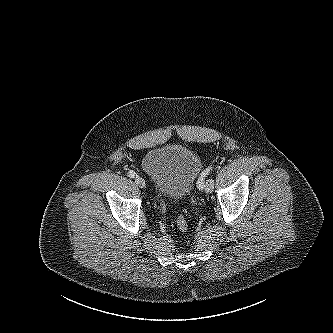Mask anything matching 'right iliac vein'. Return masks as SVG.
Wrapping results in <instances>:
<instances>
[{"mask_svg": "<svg viewBox=\"0 0 333 333\" xmlns=\"http://www.w3.org/2000/svg\"><path fill=\"white\" fill-rule=\"evenodd\" d=\"M135 183L140 187V188H145L146 184H145V180L140 177V176H136L135 177Z\"/></svg>", "mask_w": 333, "mask_h": 333, "instance_id": "63e3f726", "label": "right iliac vein"}]
</instances>
